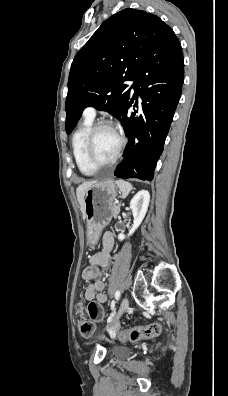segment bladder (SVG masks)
Returning a JSON list of instances; mask_svg holds the SVG:
<instances>
[{
	"label": "bladder",
	"mask_w": 228,
	"mask_h": 396,
	"mask_svg": "<svg viewBox=\"0 0 228 396\" xmlns=\"http://www.w3.org/2000/svg\"><path fill=\"white\" fill-rule=\"evenodd\" d=\"M129 353V349L124 346H116L113 348V354L118 358L126 357Z\"/></svg>",
	"instance_id": "1"
}]
</instances>
